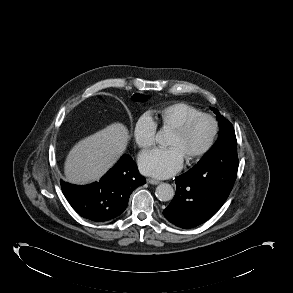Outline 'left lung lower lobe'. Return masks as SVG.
<instances>
[{"instance_id": "obj_1", "label": "left lung lower lobe", "mask_w": 293, "mask_h": 293, "mask_svg": "<svg viewBox=\"0 0 293 293\" xmlns=\"http://www.w3.org/2000/svg\"><path fill=\"white\" fill-rule=\"evenodd\" d=\"M238 170V159L213 167H193L175 178L176 195L164 216L181 228L196 227L215 214L228 198Z\"/></svg>"}]
</instances>
